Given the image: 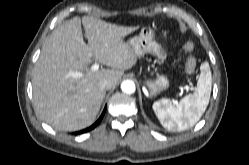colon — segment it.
Masks as SVG:
<instances>
[{
	"label": "colon",
	"mask_w": 249,
	"mask_h": 165,
	"mask_svg": "<svg viewBox=\"0 0 249 165\" xmlns=\"http://www.w3.org/2000/svg\"><path fill=\"white\" fill-rule=\"evenodd\" d=\"M184 50L187 53V60H186V72L188 74H193L196 68V58L193 54L194 52V44L191 41H186L184 44Z\"/></svg>",
	"instance_id": "colon-1"
}]
</instances>
